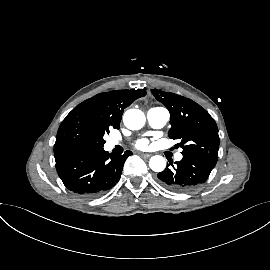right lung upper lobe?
Returning a JSON list of instances; mask_svg holds the SVG:
<instances>
[{
  "label": "right lung upper lobe",
  "mask_w": 270,
  "mask_h": 270,
  "mask_svg": "<svg viewBox=\"0 0 270 270\" xmlns=\"http://www.w3.org/2000/svg\"><path fill=\"white\" fill-rule=\"evenodd\" d=\"M146 95L143 89L115 90L100 93L79 104L73 110L87 112L89 118L105 128L119 129L123 111L136 99Z\"/></svg>",
  "instance_id": "right-lung-upper-lobe-1"
}]
</instances>
